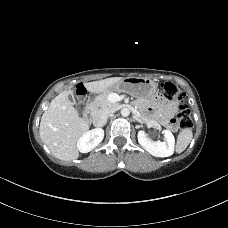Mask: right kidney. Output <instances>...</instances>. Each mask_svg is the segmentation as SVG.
<instances>
[{"instance_id":"ca27d5eb","label":"right kidney","mask_w":228,"mask_h":228,"mask_svg":"<svg viewBox=\"0 0 228 228\" xmlns=\"http://www.w3.org/2000/svg\"><path fill=\"white\" fill-rule=\"evenodd\" d=\"M104 138V130L96 128L85 132L77 142V148L81 153H88L98 146Z\"/></svg>"}]
</instances>
